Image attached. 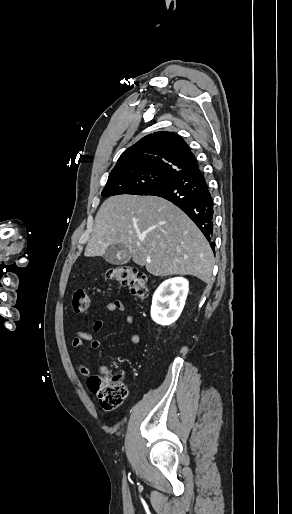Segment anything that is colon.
<instances>
[{
	"label": "colon",
	"instance_id": "5ec220e1",
	"mask_svg": "<svg viewBox=\"0 0 292 514\" xmlns=\"http://www.w3.org/2000/svg\"><path fill=\"white\" fill-rule=\"evenodd\" d=\"M140 268L134 265L115 266L107 273L106 277L118 286H129L133 296L145 299L148 296V286L145 275L139 273ZM73 309L76 313L85 314L90 309V301L86 291L76 289L73 296ZM89 388L95 395L97 402L104 409L116 407L124 402L127 397V388L121 376L114 372L101 375H91Z\"/></svg>",
	"mask_w": 292,
	"mask_h": 514
}]
</instances>
